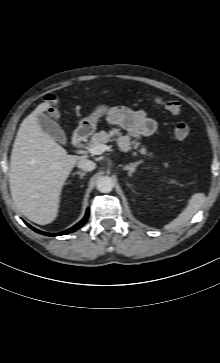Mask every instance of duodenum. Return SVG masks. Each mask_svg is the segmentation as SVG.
I'll use <instances>...</instances> for the list:
<instances>
[{"label":"duodenum","instance_id":"410a0bca","mask_svg":"<svg viewBox=\"0 0 220 363\" xmlns=\"http://www.w3.org/2000/svg\"><path fill=\"white\" fill-rule=\"evenodd\" d=\"M90 133H91V128L89 126L79 127L74 132V135L72 138V145L73 146L80 145L83 141H85L89 137Z\"/></svg>","mask_w":220,"mask_h":363}]
</instances>
